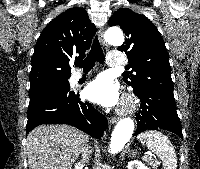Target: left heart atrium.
<instances>
[{"instance_id":"1","label":"left heart atrium","mask_w":200,"mask_h":169,"mask_svg":"<svg viewBox=\"0 0 200 169\" xmlns=\"http://www.w3.org/2000/svg\"><path fill=\"white\" fill-rule=\"evenodd\" d=\"M85 95L93 103L104 107L118 106L121 102L118 85L105 75L92 81L87 86Z\"/></svg>"}]
</instances>
